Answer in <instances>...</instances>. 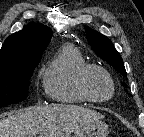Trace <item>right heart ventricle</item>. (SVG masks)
Instances as JSON below:
<instances>
[{
  "mask_svg": "<svg viewBox=\"0 0 144 137\" xmlns=\"http://www.w3.org/2000/svg\"><path fill=\"white\" fill-rule=\"evenodd\" d=\"M88 62L77 47L66 44L43 71V87L49 98L62 104H82L88 100L78 89V76Z\"/></svg>",
  "mask_w": 144,
  "mask_h": 137,
  "instance_id": "e07e8e85",
  "label": "right heart ventricle"
}]
</instances>
